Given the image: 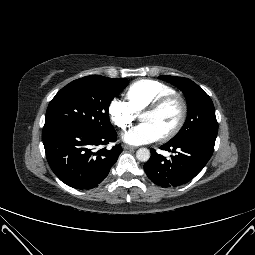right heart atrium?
Here are the masks:
<instances>
[{
    "instance_id": "right-heart-atrium-1",
    "label": "right heart atrium",
    "mask_w": 255,
    "mask_h": 255,
    "mask_svg": "<svg viewBox=\"0 0 255 255\" xmlns=\"http://www.w3.org/2000/svg\"><path fill=\"white\" fill-rule=\"evenodd\" d=\"M108 115L114 125L121 130L127 129L136 117L128 103L117 98L110 101Z\"/></svg>"
}]
</instances>
